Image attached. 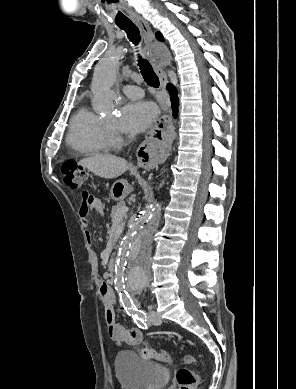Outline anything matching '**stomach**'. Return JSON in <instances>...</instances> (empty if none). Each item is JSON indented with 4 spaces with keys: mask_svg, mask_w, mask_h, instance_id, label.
<instances>
[{
    "mask_svg": "<svg viewBox=\"0 0 296 389\" xmlns=\"http://www.w3.org/2000/svg\"><path fill=\"white\" fill-rule=\"evenodd\" d=\"M130 191V186L127 181L119 180L115 182L111 189V197L114 200H121L124 198Z\"/></svg>",
    "mask_w": 296,
    "mask_h": 389,
    "instance_id": "1",
    "label": "stomach"
}]
</instances>
